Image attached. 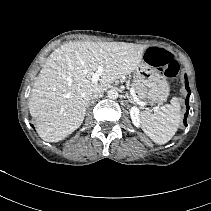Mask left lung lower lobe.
<instances>
[{
  "instance_id": "left-lung-lower-lobe-1",
  "label": "left lung lower lobe",
  "mask_w": 211,
  "mask_h": 211,
  "mask_svg": "<svg viewBox=\"0 0 211 211\" xmlns=\"http://www.w3.org/2000/svg\"><path fill=\"white\" fill-rule=\"evenodd\" d=\"M185 87H186V90L188 91V95H187V98L185 100V103H186V107H187V112L185 113L184 115V124L185 126H187V123H186V119H187V116H188V113H189V96L191 94V91H190V88H189V85H188V79H187V76L185 75Z\"/></svg>"
}]
</instances>
